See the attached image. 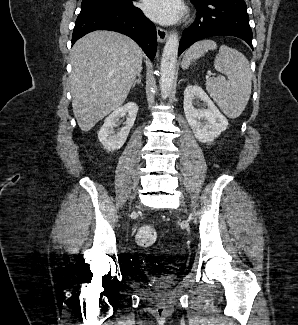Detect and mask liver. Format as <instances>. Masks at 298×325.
<instances>
[{
  "instance_id": "6515ba94",
  "label": "liver",
  "mask_w": 298,
  "mask_h": 325,
  "mask_svg": "<svg viewBox=\"0 0 298 325\" xmlns=\"http://www.w3.org/2000/svg\"><path fill=\"white\" fill-rule=\"evenodd\" d=\"M70 54L72 108L86 132L126 100L144 52L125 34L94 30L79 38Z\"/></svg>"
}]
</instances>
